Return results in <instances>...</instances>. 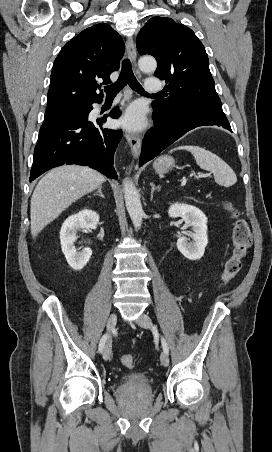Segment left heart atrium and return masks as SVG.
I'll list each match as a JSON object with an SVG mask.
<instances>
[{"label":"left heart atrium","mask_w":272,"mask_h":452,"mask_svg":"<svg viewBox=\"0 0 272 452\" xmlns=\"http://www.w3.org/2000/svg\"><path fill=\"white\" fill-rule=\"evenodd\" d=\"M119 124L128 130L141 129L145 124L143 109L137 105L131 106L120 119Z\"/></svg>","instance_id":"obj_1"}]
</instances>
